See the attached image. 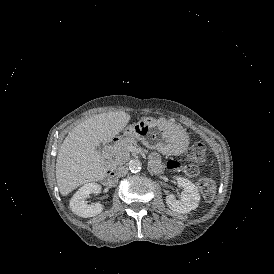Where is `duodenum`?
Wrapping results in <instances>:
<instances>
[{"instance_id":"obj_1","label":"duodenum","mask_w":274,"mask_h":274,"mask_svg":"<svg viewBox=\"0 0 274 274\" xmlns=\"http://www.w3.org/2000/svg\"><path fill=\"white\" fill-rule=\"evenodd\" d=\"M117 140H118L117 138L110 139L106 143L105 148H104V158H105L106 164L108 166V170L106 172V177L108 179H113L115 176L114 171L110 168V162H109L108 156H109V152H110V148H111L112 144H114Z\"/></svg>"}]
</instances>
